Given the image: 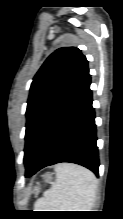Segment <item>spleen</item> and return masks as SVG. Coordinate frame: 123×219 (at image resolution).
I'll use <instances>...</instances> for the list:
<instances>
[{"instance_id": "1", "label": "spleen", "mask_w": 123, "mask_h": 219, "mask_svg": "<svg viewBox=\"0 0 123 219\" xmlns=\"http://www.w3.org/2000/svg\"><path fill=\"white\" fill-rule=\"evenodd\" d=\"M56 182L36 202L41 211H91L97 190L95 175L70 163L55 167Z\"/></svg>"}]
</instances>
